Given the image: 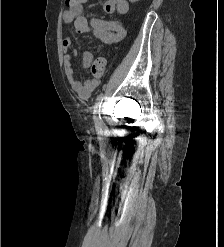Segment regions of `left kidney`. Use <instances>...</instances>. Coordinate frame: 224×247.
Here are the masks:
<instances>
[{"label": "left kidney", "mask_w": 224, "mask_h": 247, "mask_svg": "<svg viewBox=\"0 0 224 247\" xmlns=\"http://www.w3.org/2000/svg\"><path fill=\"white\" fill-rule=\"evenodd\" d=\"M129 2H132L133 4V2H139V0H129Z\"/></svg>", "instance_id": "5707ae66"}]
</instances>
